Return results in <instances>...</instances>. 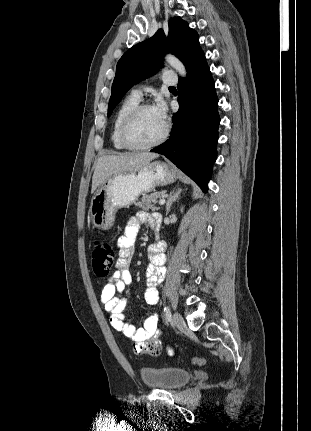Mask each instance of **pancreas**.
I'll use <instances>...</instances> for the list:
<instances>
[{
	"instance_id": "obj_1",
	"label": "pancreas",
	"mask_w": 311,
	"mask_h": 431,
	"mask_svg": "<svg viewBox=\"0 0 311 431\" xmlns=\"http://www.w3.org/2000/svg\"><path fill=\"white\" fill-rule=\"evenodd\" d=\"M165 192H154V194H150V196H142L140 200H137L136 208H141L143 212H149V210H158L156 204L158 202V198L160 196H164Z\"/></svg>"
}]
</instances>
